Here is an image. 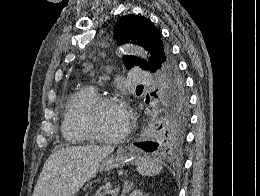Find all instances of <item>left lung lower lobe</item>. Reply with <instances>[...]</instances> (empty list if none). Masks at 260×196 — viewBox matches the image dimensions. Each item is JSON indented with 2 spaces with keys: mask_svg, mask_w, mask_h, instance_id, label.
I'll return each mask as SVG.
<instances>
[{
  "mask_svg": "<svg viewBox=\"0 0 260 196\" xmlns=\"http://www.w3.org/2000/svg\"><path fill=\"white\" fill-rule=\"evenodd\" d=\"M137 147L142 148L143 150L147 152H154L157 150V145L155 142L152 141H147V142H140V143H135Z\"/></svg>",
  "mask_w": 260,
  "mask_h": 196,
  "instance_id": "0a47b994",
  "label": "left lung lower lobe"
}]
</instances>
